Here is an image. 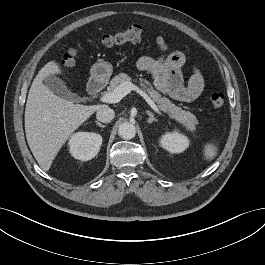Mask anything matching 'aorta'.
Returning a JSON list of instances; mask_svg holds the SVG:
<instances>
[{
	"instance_id": "aorta-1",
	"label": "aorta",
	"mask_w": 265,
	"mask_h": 265,
	"mask_svg": "<svg viewBox=\"0 0 265 265\" xmlns=\"http://www.w3.org/2000/svg\"><path fill=\"white\" fill-rule=\"evenodd\" d=\"M118 134L123 139H132L136 135V128L135 125L130 122H124L120 124Z\"/></svg>"
}]
</instances>
